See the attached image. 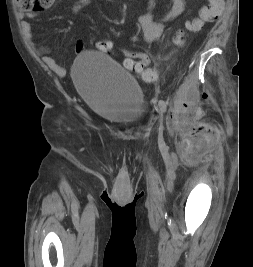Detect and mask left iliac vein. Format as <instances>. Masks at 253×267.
<instances>
[{"label": "left iliac vein", "mask_w": 253, "mask_h": 267, "mask_svg": "<svg viewBox=\"0 0 253 267\" xmlns=\"http://www.w3.org/2000/svg\"><path fill=\"white\" fill-rule=\"evenodd\" d=\"M162 121H161V123H160V133H162ZM164 142V139H163V136H162V134H160V136H159V143H163Z\"/></svg>", "instance_id": "1"}]
</instances>
